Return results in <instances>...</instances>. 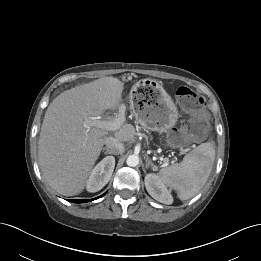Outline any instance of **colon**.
<instances>
[{
	"instance_id": "1",
	"label": "colon",
	"mask_w": 261,
	"mask_h": 261,
	"mask_svg": "<svg viewBox=\"0 0 261 261\" xmlns=\"http://www.w3.org/2000/svg\"><path fill=\"white\" fill-rule=\"evenodd\" d=\"M180 107L189 115V119L170 137L172 144L178 145L189 140H201L209 129L205 100L192 89L181 86L175 92Z\"/></svg>"
}]
</instances>
